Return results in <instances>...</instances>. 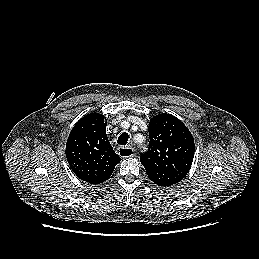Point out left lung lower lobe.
I'll list each match as a JSON object with an SVG mask.
<instances>
[{
  "instance_id": "left-lung-lower-lobe-1",
  "label": "left lung lower lobe",
  "mask_w": 259,
  "mask_h": 259,
  "mask_svg": "<svg viewBox=\"0 0 259 259\" xmlns=\"http://www.w3.org/2000/svg\"><path fill=\"white\" fill-rule=\"evenodd\" d=\"M154 183L160 186H171L182 180L178 175L163 174L161 176H148Z\"/></svg>"
}]
</instances>
